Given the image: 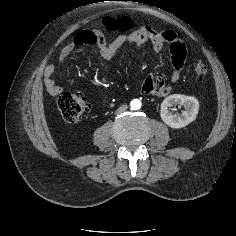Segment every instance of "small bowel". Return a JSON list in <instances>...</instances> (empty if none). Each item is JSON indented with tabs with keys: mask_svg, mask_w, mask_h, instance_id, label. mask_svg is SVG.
<instances>
[{
	"mask_svg": "<svg viewBox=\"0 0 236 236\" xmlns=\"http://www.w3.org/2000/svg\"><path fill=\"white\" fill-rule=\"evenodd\" d=\"M126 19L129 22L121 26L119 19L107 17L101 25L81 30L69 44L63 47L58 60L62 62L74 53L86 52L89 47H96L103 59L111 60L125 43L137 46L150 43L155 52L162 51L165 45H168L173 67L170 81L172 83L179 81L188 55L185 42L171 30L157 31L149 25H141L133 29L132 20ZM105 32L119 34L112 41L107 42ZM55 71L56 67L53 64H48L43 71L44 86L51 96H58L63 91L62 86L58 85L53 78ZM170 91L171 87L160 76L149 75L141 84V92L146 95L165 96Z\"/></svg>",
	"mask_w": 236,
	"mask_h": 236,
	"instance_id": "1",
	"label": "small bowel"
}]
</instances>
